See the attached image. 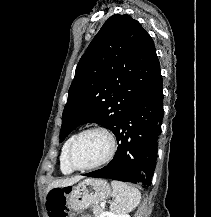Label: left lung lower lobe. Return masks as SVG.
<instances>
[{
    "label": "left lung lower lobe",
    "instance_id": "1",
    "mask_svg": "<svg viewBox=\"0 0 211 217\" xmlns=\"http://www.w3.org/2000/svg\"><path fill=\"white\" fill-rule=\"evenodd\" d=\"M162 119L163 82L160 72L115 127L113 133L119 145L114 158L107 166L85 176L129 181L149 187L156 164Z\"/></svg>",
    "mask_w": 211,
    "mask_h": 217
}]
</instances>
